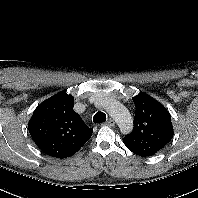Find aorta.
<instances>
[{
    "label": "aorta",
    "mask_w": 198,
    "mask_h": 198,
    "mask_svg": "<svg viewBox=\"0 0 198 198\" xmlns=\"http://www.w3.org/2000/svg\"><path fill=\"white\" fill-rule=\"evenodd\" d=\"M103 106L109 115L116 121L122 133L128 134L132 131L133 119L124 105L117 101L105 100Z\"/></svg>",
    "instance_id": "obj_1"
}]
</instances>
